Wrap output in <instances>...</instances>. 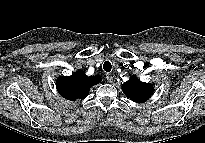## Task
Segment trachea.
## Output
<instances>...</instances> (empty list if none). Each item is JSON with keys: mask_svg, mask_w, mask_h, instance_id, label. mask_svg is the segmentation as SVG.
<instances>
[{"mask_svg": "<svg viewBox=\"0 0 205 143\" xmlns=\"http://www.w3.org/2000/svg\"><path fill=\"white\" fill-rule=\"evenodd\" d=\"M103 69L106 71V72H110L111 69H112V65L109 61H106L104 64H103Z\"/></svg>", "mask_w": 205, "mask_h": 143, "instance_id": "obj_1", "label": "trachea"}]
</instances>
